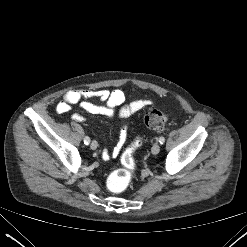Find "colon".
Segmentation results:
<instances>
[{
  "label": "colon",
  "instance_id": "1",
  "mask_svg": "<svg viewBox=\"0 0 247 247\" xmlns=\"http://www.w3.org/2000/svg\"><path fill=\"white\" fill-rule=\"evenodd\" d=\"M168 121V116L164 112L149 108L145 114L144 123L150 130L161 132ZM141 144L140 139H136L122 154V166L111 172L107 178V187L110 191L119 193L125 190L130 184L136 163L134 159V152Z\"/></svg>",
  "mask_w": 247,
  "mask_h": 247
}]
</instances>
